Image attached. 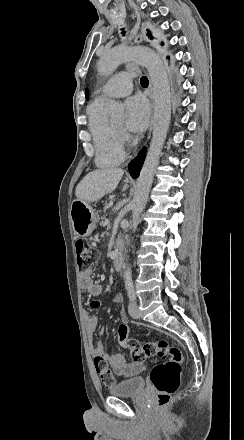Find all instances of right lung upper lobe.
Masks as SVG:
<instances>
[{
    "label": "right lung upper lobe",
    "instance_id": "1",
    "mask_svg": "<svg viewBox=\"0 0 244 440\" xmlns=\"http://www.w3.org/2000/svg\"><path fill=\"white\" fill-rule=\"evenodd\" d=\"M86 98L88 99V92L86 91Z\"/></svg>",
    "mask_w": 244,
    "mask_h": 440
}]
</instances>
